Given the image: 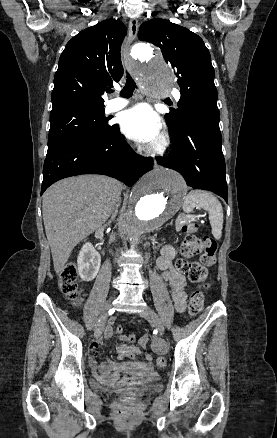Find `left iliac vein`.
Wrapping results in <instances>:
<instances>
[{"instance_id": "left-iliac-vein-1", "label": "left iliac vein", "mask_w": 277, "mask_h": 438, "mask_svg": "<svg viewBox=\"0 0 277 438\" xmlns=\"http://www.w3.org/2000/svg\"><path fill=\"white\" fill-rule=\"evenodd\" d=\"M139 315L151 322L156 327L161 336L164 334V325L158 315L154 312V310L146 307L142 312H140Z\"/></svg>"}]
</instances>
